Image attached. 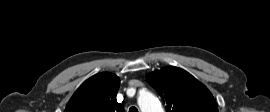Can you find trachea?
I'll return each mask as SVG.
<instances>
[{"mask_svg":"<svg viewBox=\"0 0 270 112\" xmlns=\"http://www.w3.org/2000/svg\"><path fill=\"white\" fill-rule=\"evenodd\" d=\"M129 112H138V109L134 106L130 107Z\"/></svg>","mask_w":270,"mask_h":112,"instance_id":"1","label":"trachea"}]
</instances>
